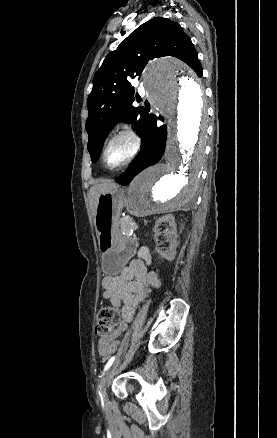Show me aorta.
Segmentation results:
<instances>
[{
  "mask_svg": "<svg viewBox=\"0 0 277 438\" xmlns=\"http://www.w3.org/2000/svg\"><path fill=\"white\" fill-rule=\"evenodd\" d=\"M144 85L152 105L167 120L164 161L132 182L128 211L137 217L175 211L194 196L204 164L205 106L195 75L170 58L151 61Z\"/></svg>",
  "mask_w": 277,
  "mask_h": 438,
  "instance_id": "obj_1",
  "label": "aorta"
}]
</instances>
